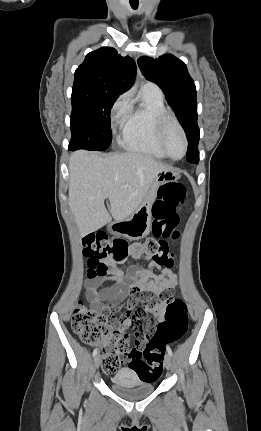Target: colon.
Masks as SVG:
<instances>
[{
    "label": "colon",
    "instance_id": "colon-1",
    "mask_svg": "<svg viewBox=\"0 0 261 431\" xmlns=\"http://www.w3.org/2000/svg\"><path fill=\"white\" fill-rule=\"evenodd\" d=\"M185 198V188L179 183L167 182L159 187L158 198L152 208L153 238L129 242L124 238L110 239L100 233L87 235L83 239V251L89 274L104 275L107 266L102 261L106 259L114 264H123L129 259L148 257L161 265H173V257L164 239L178 237L175 227ZM160 302L165 304L164 319L155 325V334L149 338L143 351L130 348L128 335L116 327L120 320L96 313L81 302L73 311L72 329L84 343L100 346L105 372H115L124 355L126 369H133L140 383L153 385L162 380L164 343L177 342L188 328V310L182 299L175 298L168 289L161 294Z\"/></svg>",
    "mask_w": 261,
    "mask_h": 431
}]
</instances>
